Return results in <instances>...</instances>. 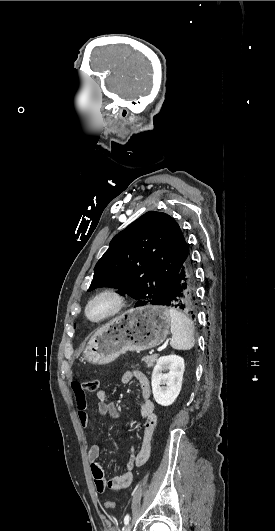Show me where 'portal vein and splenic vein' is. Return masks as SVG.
Listing matches in <instances>:
<instances>
[{"label": "portal vein and splenic vein", "mask_w": 275, "mask_h": 531, "mask_svg": "<svg viewBox=\"0 0 275 531\" xmlns=\"http://www.w3.org/2000/svg\"><path fill=\"white\" fill-rule=\"evenodd\" d=\"M167 344H169V339H166L164 346L158 347V352H161L162 349H165V346H167Z\"/></svg>", "instance_id": "1"}]
</instances>
